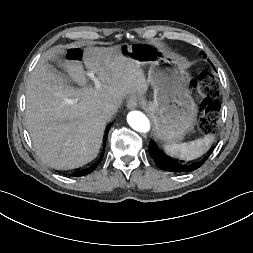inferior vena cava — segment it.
Returning a JSON list of instances; mask_svg holds the SVG:
<instances>
[{"label": "inferior vena cava", "instance_id": "1", "mask_svg": "<svg viewBox=\"0 0 253 253\" xmlns=\"http://www.w3.org/2000/svg\"><path fill=\"white\" fill-rule=\"evenodd\" d=\"M117 109V105L109 103L104 106L103 112L106 117L110 118L117 112Z\"/></svg>", "mask_w": 253, "mask_h": 253}]
</instances>
